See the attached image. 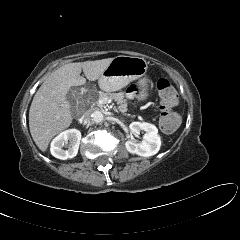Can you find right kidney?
Segmentation results:
<instances>
[{
    "label": "right kidney",
    "instance_id": "right-kidney-1",
    "mask_svg": "<svg viewBox=\"0 0 240 240\" xmlns=\"http://www.w3.org/2000/svg\"><path fill=\"white\" fill-rule=\"evenodd\" d=\"M81 140V132L77 129H69L58 136H56L51 142V154L61 160H66L68 158H73L77 155L79 144ZM69 141V147L67 150L64 146Z\"/></svg>",
    "mask_w": 240,
    "mask_h": 240
}]
</instances>
